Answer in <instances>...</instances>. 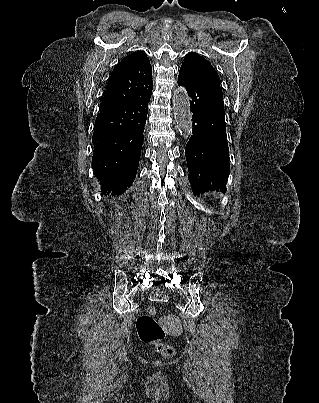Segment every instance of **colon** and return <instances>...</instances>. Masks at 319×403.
Here are the masks:
<instances>
[{"mask_svg": "<svg viewBox=\"0 0 319 403\" xmlns=\"http://www.w3.org/2000/svg\"><path fill=\"white\" fill-rule=\"evenodd\" d=\"M156 313L155 307H148L146 312L137 318L136 330L142 342L153 345L156 352L162 357L171 358L175 355V350L171 345L163 342L166 331L157 322Z\"/></svg>", "mask_w": 319, "mask_h": 403, "instance_id": "colon-1", "label": "colon"}]
</instances>
